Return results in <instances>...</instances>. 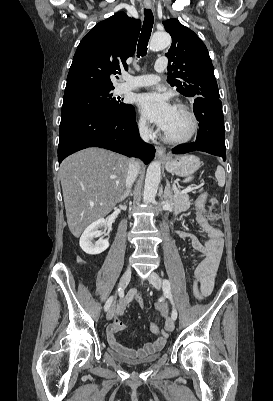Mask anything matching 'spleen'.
Masks as SVG:
<instances>
[{
  "label": "spleen",
  "instance_id": "spleen-1",
  "mask_svg": "<svg viewBox=\"0 0 273 401\" xmlns=\"http://www.w3.org/2000/svg\"><path fill=\"white\" fill-rule=\"evenodd\" d=\"M215 176L218 180L219 186H224L225 184V170L223 166H217V170L215 172Z\"/></svg>",
  "mask_w": 273,
  "mask_h": 401
}]
</instances>
